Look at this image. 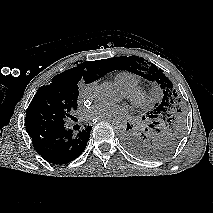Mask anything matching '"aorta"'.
I'll return each instance as SVG.
<instances>
[{
    "label": "aorta",
    "instance_id": "1",
    "mask_svg": "<svg viewBox=\"0 0 213 213\" xmlns=\"http://www.w3.org/2000/svg\"><path fill=\"white\" fill-rule=\"evenodd\" d=\"M95 98L101 103L113 104L119 101L120 93L112 85L102 84L97 88ZM112 126L116 131H125L127 128V122L124 119H115Z\"/></svg>",
    "mask_w": 213,
    "mask_h": 213
}]
</instances>
